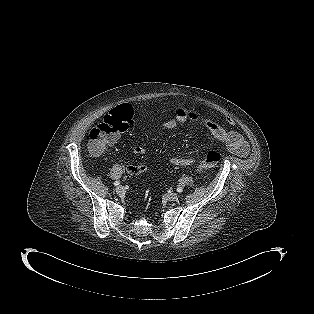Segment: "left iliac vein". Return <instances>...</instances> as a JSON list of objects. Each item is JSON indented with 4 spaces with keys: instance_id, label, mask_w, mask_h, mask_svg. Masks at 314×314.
Masks as SVG:
<instances>
[{
    "instance_id": "left-iliac-vein-1",
    "label": "left iliac vein",
    "mask_w": 314,
    "mask_h": 314,
    "mask_svg": "<svg viewBox=\"0 0 314 314\" xmlns=\"http://www.w3.org/2000/svg\"><path fill=\"white\" fill-rule=\"evenodd\" d=\"M166 198L169 201H176L179 198V195L177 193H168Z\"/></svg>"
}]
</instances>
